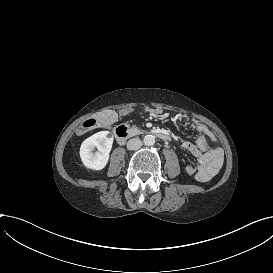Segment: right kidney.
I'll use <instances>...</instances> for the list:
<instances>
[{
	"label": "right kidney",
	"instance_id": "ca27d5eb",
	"mask_svg": "<svg viewBox=\"0 0 273 273\" xmlns=\"http://www.w3.org/2000/svg\"><path fill=\"white\" fill-rule=\"evenodd\" d=\"M114 142V135L110 131H100L83 141L80 147V158L84 167L92 171H102L106 168L110 151ZM98 151L94 152V148Z\"/></svg>",
	"mask_w": 273,
	"mask_h": 273
}]
</instances>
